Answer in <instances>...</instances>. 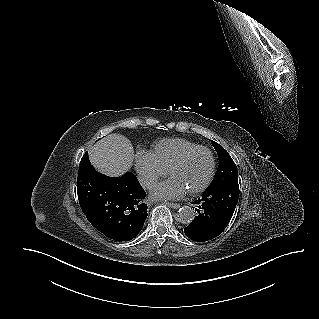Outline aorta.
Listing matches in <instances>:
<instances>
[{"label": "aorta", "instance_id": "1", "mask_svg": "<svg viewBox=\"0 0 319 319\" xmlns=\"http://www.w3.org/2000/svg\"><path fill=\"white\" fill-rule=\"evenodd\" d=\"M194 217V210L190 206H182L178 211V220L183 224L191 223Z\"/></svg>", "mask_w": 319, "mask_h": 319}]
</instances>
